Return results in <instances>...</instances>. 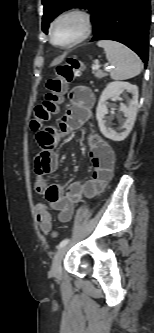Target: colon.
<instances>
[{"instance_id": "1", "label": "colon", "mask_w": 154, "mask_h": 333, "mask_svg": "<svg viewBox=\"0 0 154 333\" xmlns=\"http://www.w3.org/2000/svg\"><path fill=\"white\" fill-rule=\"evenodd\" d=\"M82 69V64L75 58H69L66 63L56 68L55 75L47 81V93L42 103L38 104L34 110V117L31 121V129L35 133L58 112L63 101V95L67 85L73 81L78 72ZM37 222L44 232L51 230V212L44 203L35 206Z\"/></svg>"}]
</instances>
